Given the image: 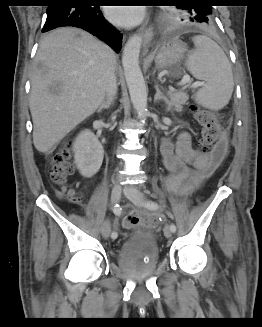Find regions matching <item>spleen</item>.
Masks as SVG:
<instances>
[{
  "mask_svg": "<svg viewBox=\"0 0 262 327\" xmlns=\"http://www.w3.org/2000/svg\"><path fill=\"white\" fill-rule=\"evenodd\" d=\"M195 49L188 56V71L205 82L194 97L205 108L220 110L228 104L234 87L231 65L224 51L211 38L198 35L193 38Z\"/></svg>",
  "mask_w": 262,
  "mask_h": 327,
  "instance_id": "3e777b00",
  "label": "spleen"
}]
</instances>
